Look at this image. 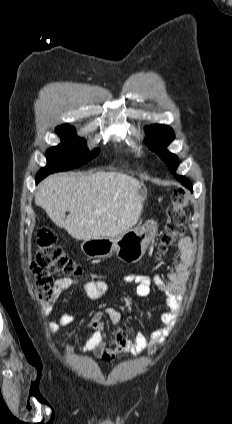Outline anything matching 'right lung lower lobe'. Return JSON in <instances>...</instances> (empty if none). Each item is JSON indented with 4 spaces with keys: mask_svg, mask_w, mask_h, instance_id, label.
<instances>
[{
    "mask_svg": "<svg viewBox=\"0 0 232 424\" xmlns=\"http://www.w3.org/2000/svg\"><path fill=\"white\" fill-rule=\"evenodd\" d=\"M40 180H42V179H40V178H36V183H38Z\"/></svg>",
    "mask_w": 232,
    "mask_h": 424,
    "instance_id": "1",
    "label": "right lung lower lobe"
}]
</instances>
